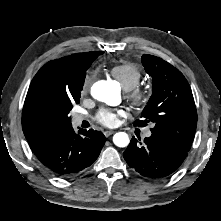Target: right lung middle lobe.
Listing matches in <instances>:
<instances>
[{"instance_id":"right-lung-middle-lobe-1","label":"right lung middle lobe","mask_w":221,"mask_h":221,"mask_svg":"<svg viewBox=\"0 0 221 221\" xmlns=\"http://www.w3.org/2000/svg\"><path fill=\"white\" fill-rule=\"evenodd\" d=\"M79 100H80V98H78L74 102H70V101L65 102L62 105V114L67 120L71 121V117L68 114H69L70 110L72 109L73 103H79Z\"/></svg>"}]
</instances>
